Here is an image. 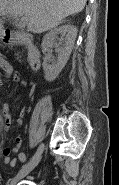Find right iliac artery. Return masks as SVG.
<instances>
[{
    "label": "right iliac artery",
    "mask_w": 119,
    "mask_h": 185,
    "mask_svg": "<svg viewBox=\"0 0 119 185\" xmlns=\"http://www.w3.org/2000/svg\"><path fill=\"white\" fill-rule=\"evenodd\" d=\"M43 148H44V146H43V144H41V145L38 147V149H37L36 153L34 154V156L32 157V159H34V158L43 150ZM32 159H31V160H32Z\"/></svg>",
    "instance_id": "1"
}]
</instances>
